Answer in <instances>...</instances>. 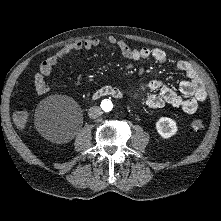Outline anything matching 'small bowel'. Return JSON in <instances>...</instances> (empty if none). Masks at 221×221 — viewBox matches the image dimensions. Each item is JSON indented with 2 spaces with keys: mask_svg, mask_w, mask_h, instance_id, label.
<instances>
[{
  "mask_svg": "<svg viewBox=\"0 0 221 221\" xmlns=\"http://www.w3.org/2000/svg\"><path fill=\"white\" fill-rule=\"evenodd\" d=\"M103 44L117 46L121 54L129 60L142 61L151 58L158 64H164L167 62V54L160 48H133L124 40L117 39L114 36H110L105 40L94 38L77 41L64 46L41 63L39 71L34 76L36 93L43 95L51 90L50 86L47 85L45 78L52 73L59 61L72 53L82 50L89 51ZM176 67L186 75V79L181 81L179 85V91L182 95L178 94L162 81L152 80L144 86V89L155 92L154 94L147 96L144 102L146 107L150 109H159L165 105H170L182 109L187 114H193L197 111L199 105L206 100V90L194 68L186 61H178Z\"/></svg>",
  "mask_w": 221,
  "mask_h": 221,
  "instance_id": "c3829d8e",
  "label": "small bowel"
}]
</instances>
